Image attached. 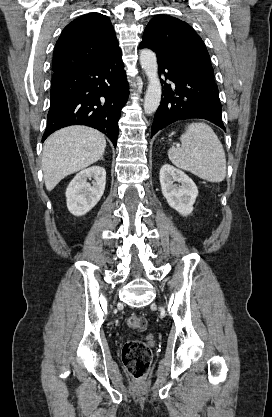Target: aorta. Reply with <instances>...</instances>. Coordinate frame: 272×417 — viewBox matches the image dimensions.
<instances>
[{
	"instance_id": "1",
	"label": "aorta",
	"mask_w": 272,
	"mask_h": 417,
	"mask_svg": "<svg viewBox=\"0 0 272 417\" xmlns=\"http://www.w3.org/2000/svg\"><path fill=\"white\" fill-rule=\"evenodd\" d=\"M140 63L149 81L144 98V111L150 115L159 107L162 93L156 54L149 49H142Z\"/></svg>"
}]
</instances>
